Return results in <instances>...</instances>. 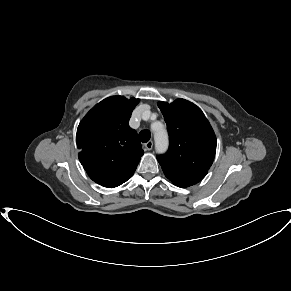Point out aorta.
I'll return each mask as SVG.
<instances>
[{
    "label": "aorta",
    "mask_w": 291,
    "mask_h": 291,
    "mask_svg": "<svg viewBox=\"0 0 291 291\" xmlns=\"http://www.w3.org/2000/svg\"><path fill=\"white\" fill-rule=\"evenodd\" d=\"M159 129L155 131V147L158 153H163L168 148V136L164 126L161 123H157Z\"/></svg>",
    "instance_id": "aorta-1"
}]
</instances>
